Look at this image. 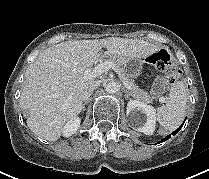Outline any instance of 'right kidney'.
Instances as JSON below:
<instances>
[{"label": "right kidney", "instance_id": "ca27d5eb", "mask_svg": "<svg viewBox=\"0 0 209 179\" xmlns=\"http://www.w3.org/2000/svg\"><path fill=\"white\" fill-rule=\"evenodd\" d=\"M81 120L79 117L71 118L64 126L62 134L64 137L73 135L79 128Z\"/></svg>", "mask_w": 209, "mask_h": 179}]
</instances>
